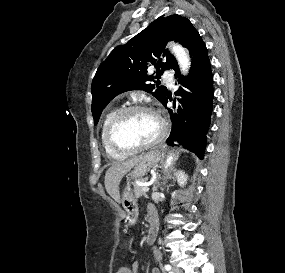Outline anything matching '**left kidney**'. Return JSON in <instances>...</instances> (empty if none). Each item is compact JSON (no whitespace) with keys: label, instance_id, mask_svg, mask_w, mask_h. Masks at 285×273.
Here are the masks:
<instances>
[{"label":"left kidney","instance_id":"5707ae66","mask_svg":"<svg viewBox=\"0 0 285 273\" xmlns=\"http://www.w3.org/2000/svg\"><path fill=\"white\" fill-rule=\"evenodd\" d=\"M176 177H177V182L180 186H184L186 184L187 175H185L184 172L182 171L177 172Z\"/></svg>","mask_w":285,"mask_h":273}]
</instances>
